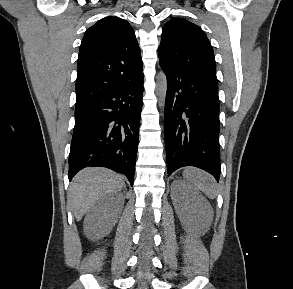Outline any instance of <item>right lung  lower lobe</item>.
Listing matches in <instances>:
<instances>
[{
    "label": "right lung lower lobe",
    "mask_w": 293,
    "mask_h": 289,
    "mask_svg": "<svg viewBox=\"0 0 293 289\" xmlns=\"http://www.w3.org/2000/svg\"><path fill=\"white\" fill-rule=\"evenodd\" d=\"M143 91L142 76L75 107L69 181L85 167L103 166L124 173L133 185Z\"/></svg>",
    "instance_id": "obj_1"
}]
</instances>
